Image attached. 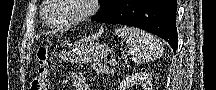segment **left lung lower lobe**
<instances>
[{
    "label": "left lung lower lobe",
    "mask_w": 216,
    "mask_h": 90,
    "mask_svg": "<svg viewBox=\"0 0 216 90\" xmlns=\"http://www.w3.org/2000/svg\"><path fill=\"white\" fill-rule=\"evenodd\" d=\"M176 0H121L91 20L141 28L166 40L174 53L178 45Z\"/></svg>",
    "instance_id": "1"
}]
</instances>
